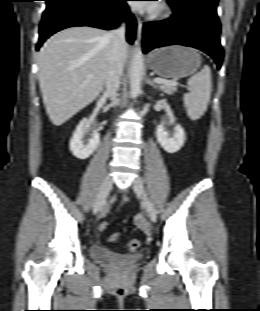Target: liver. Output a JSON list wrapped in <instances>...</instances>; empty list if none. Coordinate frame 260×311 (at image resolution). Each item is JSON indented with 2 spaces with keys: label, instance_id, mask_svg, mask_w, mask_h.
I'll list each match as a JSON object with an SVG mask.
<instances>
[{
  "label": "liver",
  "instance_id": "6515ba94",
  "mask_svg": "<svg viewBox=\"0 0 260 311\" xmlns=\"http://www.w3.org/2000/svg\"><path fill=\"white\" fill-rule=\"evenodd\" d=\"M110 49L107 32L92 27L64 29L43 45L38 55L39 85L46 112L55 126L99 96Z\"/></svg>",
  "mask_w": 260,
  "mask_h": 311
}]
</instances>
